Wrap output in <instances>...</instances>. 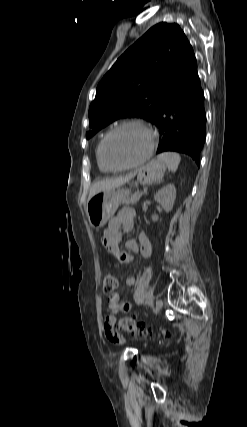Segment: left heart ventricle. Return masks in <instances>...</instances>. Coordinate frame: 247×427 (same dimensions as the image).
Instances as JSON below:
<instances>
[{
    "label": "left heart ventricle",
    "instance_id": "obj_1",
    "mask_svg": "<svg viewBox=\"0 0 247 427\" xmlns=\"http://www.w3.org/2000/svg\"><path fill=\"white\" fill-rule=\"evenodd\" d=\"M150 145V136L139 127L118 130L107 142L106 155L114 166H123L139 160Z\"/></svg>",
    "mask_w": 247,
    "mask_h": 427
}]
</instances>
